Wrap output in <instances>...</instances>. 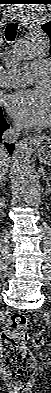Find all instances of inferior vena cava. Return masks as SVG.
<instances>
[{"mask_svg": "<svg viewBox=\"0 0 51 393\" xmlns=\"http://www.w3.org/2000/svg\"><path fill=\"white\" fill-rule=\"evenodd\" d=\"M19 132L20 129L18 127L11 128L3 134V140L10 143L16 142L19 137ZM7 160L8 157L5 153V146L3 144H0V164H1L0 172L1 174L4 175L8 169V163H6Z\"/></svg>", "mask_w": 51, "mask_h": 393, "instance_id": "inferior-vena-cava-1", "label": "inferior vena cava"}]
</instances>
